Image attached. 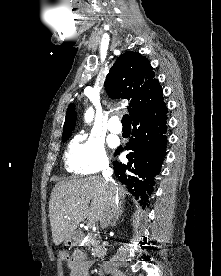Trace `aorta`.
Wrapping results in <instances>:
<instances>
[{
  "label": "aorta",
  "instance_id": "obj_1",
  "mask_svg": "<svg viewBox=\"0 0 221 276\" xmlns=\"http://www.w3.org/2000/svg\"><path fill=\"white\" fill-rule=\"evenodd\" d=\"M94 111L92 108H89L85 114V120L86 122H91L93 120Z\"/></svg>",
  "mask_w": 221,
  "mask_h": 276
}]
</instances>
